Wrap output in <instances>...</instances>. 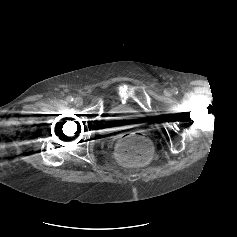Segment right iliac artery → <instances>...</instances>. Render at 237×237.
I'll list each match as a JSON object with an SVG mask.
<instances>
[{
  "instance_id": "right-iliac-artery-1",
  "label": "right iliac artery",
  "mask_w": 237,
  "mask_h": 237,
  "mask_svg": "<svg viewBox=\"0 0 237 237\" xmlns=\"http://www.w3.org/2000/svg\"><path fill=\"white\" fill-rule=\"evenodd\" d=\"M66 100L71 103V102L73 101V97H72V96H68V97L66 98Z\"/></svg>"
}]
</instances>
